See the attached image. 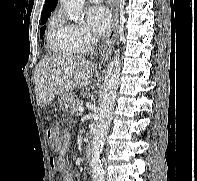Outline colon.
<instances>
[{"label": "colon", "mask_w": 197, "mask_h": 181, "mask_svg": "<svg viewBox=\"0 0 197 181\" xmlns=\"http://www.w3.org/2000/svg\"><path fill=\"white\" fill-rule=\"evenodd\" d=\"M47 137L50 142L51 147L54 150H59L62 146V137L60 130L56 126H51L47 129Z\"/></svg>", "instance_id": "5ec220e1"}]
</instances>
